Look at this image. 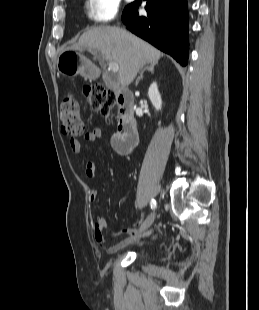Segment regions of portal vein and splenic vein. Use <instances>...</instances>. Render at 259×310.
Masks as SVG:
<instances>
[{
  "label": "portal vein and splenic vein",
  "mask_w": 259,
  "mask_h": 310,
  "mask_svg": "<svg viewBox=\"0 0 259 310\" xmlns=\"http://www.w3.org/2000/svg\"><path fill=\"white\" fill-rule=\"evenodd\" d=\"M108 69L111 70L113 73H116L119 70V65H118V63L111 61L109 63V68Z\"/></svg>",
  "instance_id": "1"
}]
</instances>
